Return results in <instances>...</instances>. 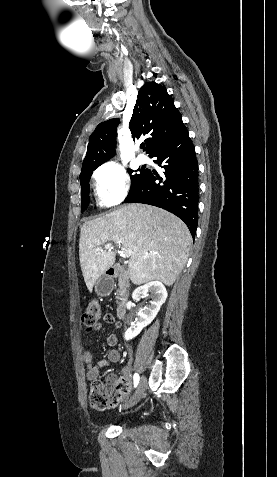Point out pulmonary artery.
Segmentation results:
<instances>
[{
  "label": "pulmonary artery",
  "mask_w": 277,
  "mask_h": 477,
  "mask_svg": "<svg viewBox=\"0 0 277 477\" xmlns=\"http://www.w3.org/2000/svg\"><path fill=\"white\" fill-rule=\"evenodd\" d=\"M147 161H148V159H147V157H146L145 155L139 154V155L137 156V162H138L139 164H144V163H146Z\"/></svg>",
  "instance_id": "obj_1"
}]
</instances>
